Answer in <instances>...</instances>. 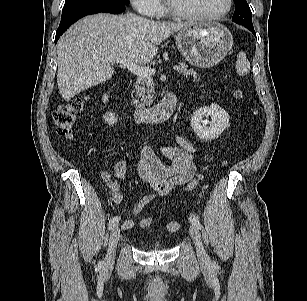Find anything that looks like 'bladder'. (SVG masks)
Here are the masks:
<instances>
[{
	"label": "bladder",
	"instance_id": "1",
	"mask_svg": "<svg viewBox=\"0 0 307 301\" xmlns=\"http://www.w3.org/2000/svg\"><path fill=\"white\" fill-rule=\"evenodd\" d=\"M161 249H162V247L159 243L154 244L151 248L152 251H159Z\"/></svg>",
	"mask_w": 307,
	"mask_h": 301
}]
</instances>
